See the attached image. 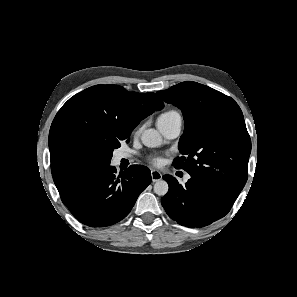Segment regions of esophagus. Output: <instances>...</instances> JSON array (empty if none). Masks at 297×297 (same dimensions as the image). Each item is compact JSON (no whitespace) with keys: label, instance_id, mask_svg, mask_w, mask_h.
Returning a JSON list of instances; mask_svg holds the SVG:
<instances>
[{"label":"esophagus","instance_id":"1","mask_svg":"<svg viewBox=\"0 0 297 297\" xmlns=\"http://www.w3.org/2000/svg\"><path fill=\"white\" fill-rule=\"evenodd\" d=\"M151 177H152V180L155 182V181H159L162 179V174L157 171V170H152L151 171Z\"/></svg>","mask_w":297,"mask_h":297}]
</instances>
